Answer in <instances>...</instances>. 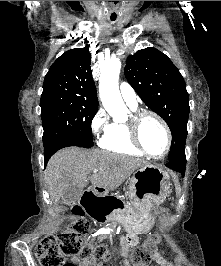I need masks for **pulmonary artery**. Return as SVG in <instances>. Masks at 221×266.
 I'll return each instance as SVG.
<instances>
[{
  "instance_id": "obj_1",
  "label": "pulmonary artery",
  "mask_w": 221,
  "mask_h": 266,
  "mask_svg": "<svg viewBox=\"0 0 221 266\" xmlns=\"http://www.w3.org/2000/svg\"><path fill=\"white\" fill-rule=\"evenodd\" d=\"M120 93L124 101L128 106L131 108H137V99H136V93L134 89L130 86V84L123 82L120 85Z\"/></svg>"
}]
</instances>
